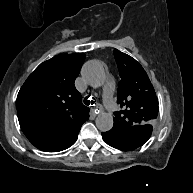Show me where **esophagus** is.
Listing matches in <instances>:
<instances>
[{"label": "esophagus", "mask_w": 193, "mask_h": 193, "mask_svg": "<svg viewBox=\"0 0 193 193\" xmlns=\"http://www.w3.org/2000/svg\"><path fill=\"white\" fill-rule=\"evenodd\" d=\"M101 112H103V107L102 105H97V107L94 109V113L97 115V114H100Z\"/></svg>", "instance_id": "34e87169"}]
</instances>
